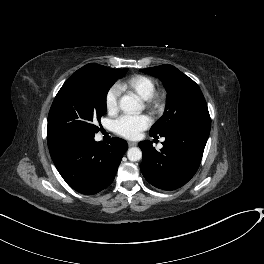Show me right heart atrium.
Listing matches in <instances>:
<instances>
[{
    "mask_svg": "<svg viewBox=\"0 0 264 264\" xmlns=\"http://www.w3.org/2000/svg\"><path fill=\"white\" fill-rule=\"evenodd\" d=\"M121 90L117 86L111 87L105 97V106L110 114H115L119 109Z\"/></svg>",
    "mask_w": 264,
    "mask_h": 264,
    "instance_id": "obj_1",
    "label": "right heart atrium"
}]
</instances>
